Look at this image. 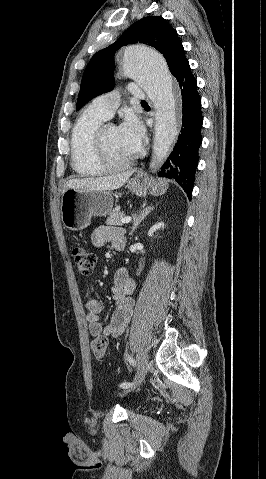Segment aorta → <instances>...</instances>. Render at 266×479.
Masks as SVG:
<instances>
[{
	"mask_svg": "<svg viewBox=\"0 0 266 479\" xmlns=\"http://www.w3.org/2000/svg\"><path fill=\"white\" fill-rule=\"evenodd\" d=\"M124 76L137 82L146 92L155 108L153 154L151 170L160 167L169 155L177 135L174 81L164 58L144 45H131L122 55Z\"/></svg>",
	"mask_w": 266,
	"mask_h": 479,
	"instance_id": "aorta-1",
	"label": "aorta"
}]
</instances>
